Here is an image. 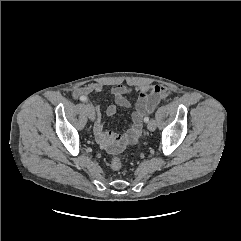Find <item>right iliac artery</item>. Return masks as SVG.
I'll use <instances>...</instances> for the list:
<instances>
[{"label":"right iliac artery","mask_w":241,"mask_h":241,"mask_svg":"<svg viewBox=\"0 0 241 241\" xmlns=\"http://www.w3.org/2000/svg\"><path fill=\"white\" fill-rule=\"evenodd\" d=\"M80 100L83 101V102H86L87 98L86 97H80Z\"/></svg>","instance_id":"obj_1"}]
</instances>
